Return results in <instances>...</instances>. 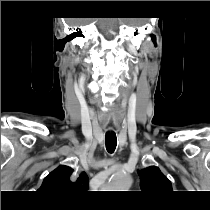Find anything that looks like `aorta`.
I'll list each match as a JSON object with an SVG mask.
<instances>
[{"label": "aorta", "instance_id": "aorta-1", "mask_svg": "<svg viewBox=\"0 0 210 210\" xmlns=\"http://www.w3.org/2000/svg\"><path fill=\"white\" fill-rule=\"evenodd\" d=\"M132 184V177L125 171H117L110 179L106 189H112L113 191H127Z\"/></svg>", "mask_w": 210, "mask_h": 210}]
</instances>
